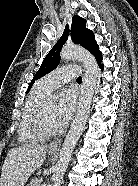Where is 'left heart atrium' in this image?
<instances>
[{
	"instance_id": "1",
	"label": "left heart atrium",
	"mask_w": 138,
	"mask_h": 186,
	"mask_svg": "<svg viewBox=\"0 0 138 186\" xmlns=\"http://www.w3.org/2000/svg\"><path fill=\"white\" fill-rule=\"evenodd\" d=\"M75 108V95L72 91H64L57 105V117L61 126L71 119Z\"/></svg>"
}]
</instances>
